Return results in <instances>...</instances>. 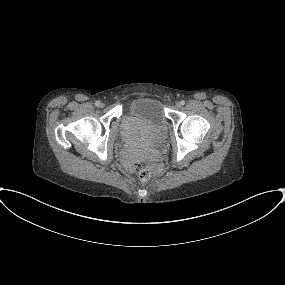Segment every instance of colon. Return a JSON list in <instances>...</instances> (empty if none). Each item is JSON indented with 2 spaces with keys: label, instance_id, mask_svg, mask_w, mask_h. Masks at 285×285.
Masks as SVG:
<instances>
[{
  "label": "colon",
  "instance_id": "1",
  "mask_svg": "<svg viewBox=\"0 0 285 285\" xmlns=\"http://www.w3.org/2000/svg\"><path fill=\"white\" fill-rule=\"evenodd\" d=\"M131 168L138 170L139 178L141 180H148L154 176L158 168V164L153 160H149L143 164H134Z\"/></svg>",
  "mask_w": 285,
  "mask_h": 285
}]
</instances>
